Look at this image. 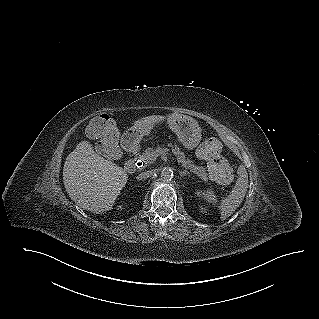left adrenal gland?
<instances>
[{
    "mask_svg": "<svg viewBox=\"0 0 319 319\" xmlns=\"http://www.w3.org/2000/svg\"><path fill=\"white\" fill-rule=\"evenodd\" d=\"M179 174H180L181 177L187 176V175L190 176L189 172H187V171H180Z\"/></svg>",
    "mask_w": 319,
    "mask_h": 319,
    "instance_id": "a2214340",
    "label": "left adrenal gland"
}]
</instances>
